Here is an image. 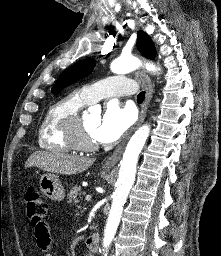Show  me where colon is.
I'll use <instances>...</instances> for the list:
<instances>
[{
	"label": "colon",
	"mask_w": 221,
	"mask_h": 256,
	"mask_svg": "<svg viewBox=\"0 0 221 256\" xmlns=\"http://www.w3.org/2000/svg\"><path fill=\"white\" fill-rule=\"evenodd\" d=\"M27 216L36 230H42L47 225L48 206L39 192L30 187L25 194Z\"/></svg>",
	"instance_id": "1"
}]
</instances>
